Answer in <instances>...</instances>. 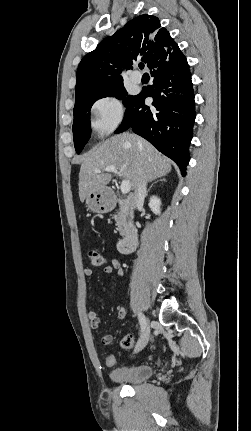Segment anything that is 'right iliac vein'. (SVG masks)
I'll list each match as a JSON object with an SVG mask.
<instances>
[{
  "mask_svg": "<svg viewBox=\"0 0 251 431\" xmlns=\"http://www.w3.org/2000/svg\"><path fill=\"white\" fill-rule=\"evenodd\" d=\"M149 337H150V328L148 325H146L142 331L141 336H140L138 345L135 349V353L139 352L140 350H142L146 346V344L149 341Z\"/></svg>",
  "mask_w": 251,
  "mask_h": 431,
  "instance_id": "obj_1",
  "label": "right iliac vein"
}]
</instances>
